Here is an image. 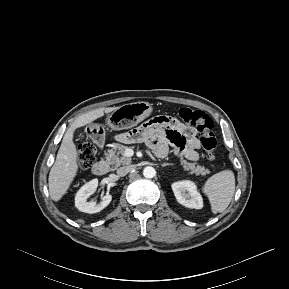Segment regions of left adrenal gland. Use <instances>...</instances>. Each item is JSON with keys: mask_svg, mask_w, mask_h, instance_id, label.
<instances>
[{"mask_svg": "<svg viewBox=\"0 0 289 289\" xmlns=\"http://www.w3.org/2000/svg\"><path fill=\"white\" fill-rule=\"evenodd\" d=\"M169 165H174V164H172V163H164V164H162V167H165V166H169Z\"/></svg>", "mask_w": 289, "mask_h": 289, "instance_id": "a2214340", "label": "left adrenal gland"}]
</instances>
